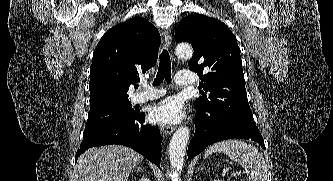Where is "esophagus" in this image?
<instances>
[{"label": "esophagus", "mask_w": 333, "mask_h": 181, "mask_svg": "<svg viewBox=\"0 0 333 181\" xmlns=\"http://www.w3.org/2000/svg\"><path fill=\"white\" fill-rule=\"evenodd\" d=\"M163 35H164L166 45L169 47L171 45V41H172L171 29L170 28L164 29ZM172 60L174 61V58H172ZM174 130H175V128L170 125H161L160 126V131L163 135H170Z\"/></svg>", "instance_id": "1"}]
</instances>
